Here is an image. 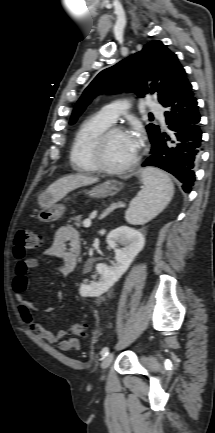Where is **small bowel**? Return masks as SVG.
Segmentation results:
<instances>
[{"instance_id": "obj_1", "label": "small bowel", "mask_w": 215, "mask_h": 433, "mask_svg": "<svg viewBox=\"0 0 215 433\" xmlns=\"http://www.w3.org/2000/svg\"><path fill=\"white\" fill-rule=\"evenodd\" d=\"M80 251V234L74 227L67 225L56 230L52 243L45 249L44 254L49 258L62 259L60 272L63 275H68L75 269ZM38 264L39 261L36 257H29L19 260L15 268L12 288L19 303L21 317L40 338L49 343L57 344L60 350H80V340L74 337L65 338V330L51 331L34 321L33 312H36L38 308L25 298L24 293L30 284L28 273ZM58 297H60V294H58Z\"/></svg>"}]
</instances>
